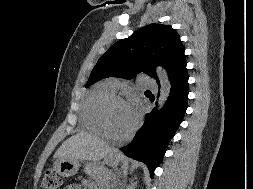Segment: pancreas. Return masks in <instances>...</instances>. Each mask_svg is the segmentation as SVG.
I'll list each match as a JSON object with an SVG mask.
<instances>
[{
	"label": "pancreas",
	"instance_id": "cf45deb5",
	"mask_svg": "<svg viewBox=\"0 0 253 189\" xmlns=\"http://www.w3.org/2000/svg\"><path fill=\"white\" fill-rule=\"evenodd\" d=\"M85 172L87 175H89L92 179H95L102 184H107L110 177V172L103 168L102 166H96V165H87L85 167Z\"/></svg>",
	"mask_w": 253,
	"mask_h": 189
}]
</instances>
